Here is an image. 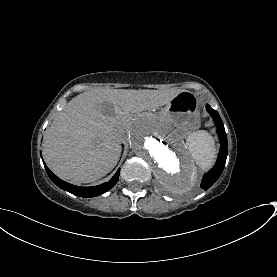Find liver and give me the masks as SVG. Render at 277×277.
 <instances>
[{"label":"liver","mask_w":277,"mask_h":277,"mask_svg":"<svg viewBox=\"0 0 277 277\" xmlns=\"http://www.w3.org/2000/svg\"><path fill=\"white\" fill-rule=\"evenodd\" d=\"M175 92L91 90L77 95L44 135L43 156L61 179L91 183L117 165L134 114L168 104Z\"/></svg>","instance_id":"1"}]
</instances>
